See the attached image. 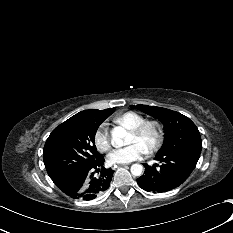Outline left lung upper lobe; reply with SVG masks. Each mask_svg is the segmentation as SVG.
Returning <instances> with one entry per match:
<instances>
[{
    "label": "left lung upper lobe",
    "instance_id": "obj_1",
    "mask_svg": "<svg viewBox=\"0 0 233 233\" xmlns=\"http://www.w3.org/2000/svg\"><path fill=\"white\" fill-rule=\"evenodd\" d=\"M148 115L158 119L165 126L164 144L158 153H181L199 159L202 141L196 125L183 114L166 108L132 105Z\"/></svg>",
    "mask_w": 233,
    "mask_h": 233
}]
</instances>
